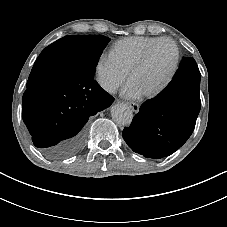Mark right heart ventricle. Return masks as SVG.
Here are the masks:
<instances>
[{"label":"right heart ventricle","instance_id":"right-heart-ventricle-1","mask_svg":"<svg viewBox=\"0 0 227 227\" xmlns=\"http://www.w3.org/2000/svg\"><path fill=\"white\" fill-rule=\"evenodd\" d=\"M160 38L132 36L118 40L110 50V57L128 74L146 48Z\"/></svg>","mask_w":227,"mask_h":227}]
</instances>
